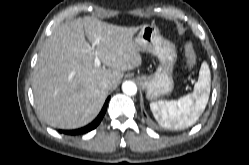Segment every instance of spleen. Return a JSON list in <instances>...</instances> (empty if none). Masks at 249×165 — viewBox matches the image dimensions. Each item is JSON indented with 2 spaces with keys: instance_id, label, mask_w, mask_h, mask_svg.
I'll list each match as a JSON object with an SVG mask.
<instances>
[{
  "instance_id": "obj_1",
  "label": "spleen",
  "mask_w": 249,
  "mask_h": 165,
  "mask_svg": "<svg viewBox=\"0 0 249 165\" xmlns=\"http://www.w3.org/2000/svg\"><path fill=\"white\" fill-rule=\"evenodd\" d=\"M211 74L209 66L203 62L198 81L191 94L176 101H158L150 103V109L158 123L166 128H186L199 119L207 105Z\"/></svg>"
}]
</instances>
